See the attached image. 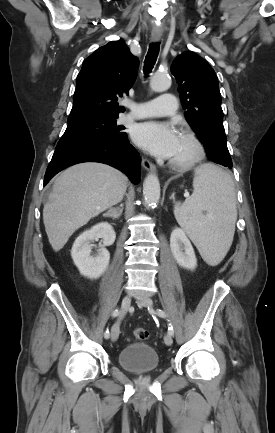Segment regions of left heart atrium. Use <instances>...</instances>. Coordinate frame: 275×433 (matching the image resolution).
Instances as JSON below:
<instances>
[{
  "label": "left heart atrium",
  "mask_w": 275,
  "mask_h": 433,
  "mask_svg": "<svg viewBox=\"0 0 275 433\" xmlns=\"http://www.w3.org/2000/svg\"><path fill=\"white\" fill-rule=\"evenodd\" d=\"M178 137L172 125L160 121L138 123L132 130V139L138 146L162 158L172 157Z\"/></svg>",
  "instance_id": "1"
}]
</instances>
